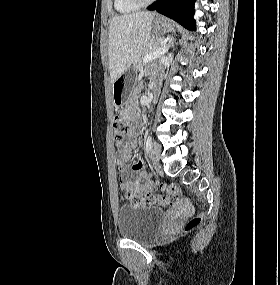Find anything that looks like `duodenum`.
<instances>
[{"mask_svg": "<svg viewBox=\"0 0 280 285\" xmlns=\"http://www.w3.org/2000/svg\"><path fill=\"white\" fill-rule=\"evenodd\" d=\"M159 85L157 84V82H153L152 84V97L153 100H157V98L159 97Z\"/></svg>", "mask_w": 280, "mask_h": 285, "instance_id": "1", "label": "duodenum"}]
</instances>
